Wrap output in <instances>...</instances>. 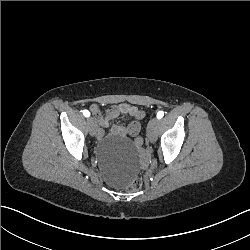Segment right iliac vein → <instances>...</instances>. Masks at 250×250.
<instances>
[{"label": "right iliac vein", "mask_w": 250, "mask_h": 250, "mask_svg": "<svg viewBox=\"0 0 250 250\" xmlns=\"http://www.w3.org/2000/svg\"><path fill=\"white\" fill-rule=\"evenodd\" d=\"M87 124H88V127H89L90 135L94 136L95 132H96V128H97L96 121L92 117H89V118H87Z\"/></svg>", "instance_id": "1"}]
</instances>
